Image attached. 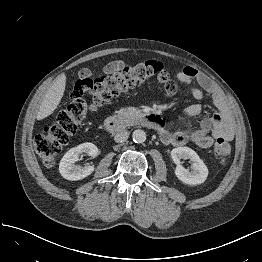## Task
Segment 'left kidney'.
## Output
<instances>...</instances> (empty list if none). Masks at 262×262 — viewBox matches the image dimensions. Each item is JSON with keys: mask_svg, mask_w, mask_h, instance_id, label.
<instances>
[{"mask_svg": "<svg viewBox=\"0 0 262 262\" xmlns=\"http://www.w3.org/2000/svg\"><path fill=\"white\" fill-rule=\"evenodd\" d=\"M171 157L177 165L175 168L176 177L187 185H198L207 179L208 168L198 154L189 147H178L171 151ZM181 159H190L192 161V170L184 168L181 165Z\"/></svg>", "mask_w": 262, "mask_h": 262, "instance_id": "1", "label": "left kidney"}]
</instances>
